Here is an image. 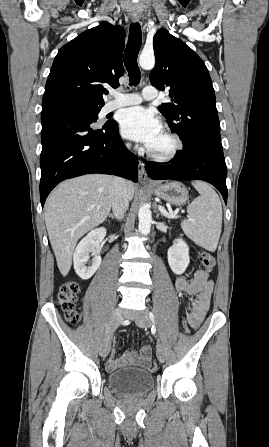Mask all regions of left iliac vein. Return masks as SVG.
<instances>
[{
	"mask_svg": "<svg viewBox=\"0 0 269 447\" xmlns=\"http://www.w3.org/2000/svg\"><path fill=\"white\" fill-rule=\"evenodd\" d=\"M135 322H136V325L139 326V327H141V328H144V327H147V326H151V325H152L151 317H150V315H148V314H143L142 316H138V317L135 319ZM156 356H157V358H158V360H159L160 362L163 363V362L165 361V351H164V346H163V344H162V342H161V340H160L159 333H158V346H157V353H156Z\"/></svg>",
	"mask_w": 269,
	"mask_h": 447,
	"instance_id": "1",
	"label": "left iliac vein"
}]
</instances>
